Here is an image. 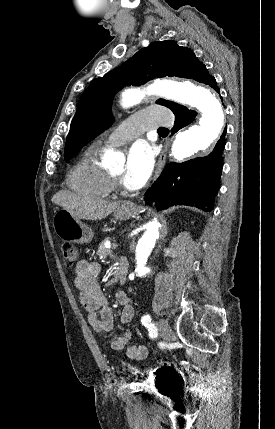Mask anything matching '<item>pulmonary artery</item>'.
<instances>
[{
    "label": "pulmonary artery",
    "instance_id": "e3ab8cb5",
    "mask_svg": "<svg viewBox=\"0 0 275 429\" xmlns=\"http://www.w3.org/2000/svg\"><path fill=\"white\" fill-rule=\"evenodd\" d=\"M172 114L161 107H150L131 116L126 123L112 131L105 139V144L118 146L143 133L147 129L168 126L172 124Z\"/></svg>",
    "mask_w": 275,
    "mask_h": 429
}]
</instances>
